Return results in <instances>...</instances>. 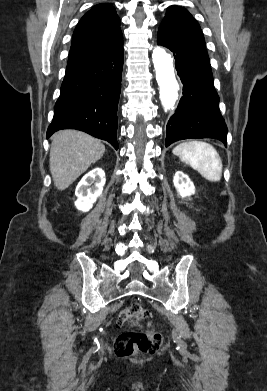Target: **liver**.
<instances>
[{"label":"liver","instance_id":"1","mask_svg":"<svg viewBox=\"0 0 267 391\" xmlns=\"http://www.w3.org/2000/svg\"><path fill=\"white\" fill-rule=\"evenodd\" d=\"M50 171L58 190L68 188L105 153L96 138L76 130H63L51 137Z\"/></svg>","mask_w":267,"mask_h":391}]
</instances>
